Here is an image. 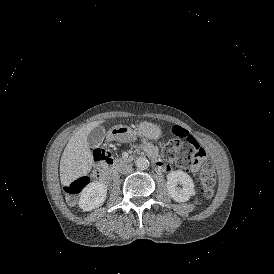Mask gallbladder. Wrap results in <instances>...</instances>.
Here are the masks:
<instances>
[{"label": "gallbladder", "mask_w": 274, "mask_h": 274, "mask_svg": "<svg viewBox=\"0 0 274 274\" xmlns=\"http://www.w3.org/2000/svg\"><path fill=\"white\" fill-rule=\"evenodd\" d=\"M105 138V129L101 126L94 128L87 136L88 146L91 148L101 145Z\"/></svg>", "instance_id": "1"}]
</instances>
